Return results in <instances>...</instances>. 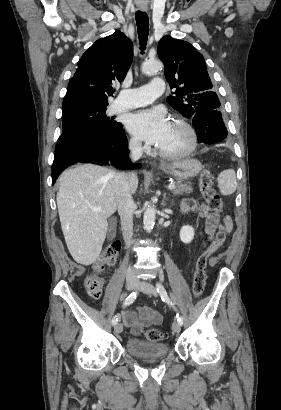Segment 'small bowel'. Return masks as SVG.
<instances>
[{
	"label": "small bowel",
	"mask_w": 281,
	"mask_h": 410,
	"mask_svg": "<svg viewBox=\"0 0 281 410\" xmlns=\"http://www.w3.org/2000/svg\"><path fill=\"white\" fill-rule=\"evenodd\" d=\"M196 204L193 200H186L182 203L180 211L186 213L194 209ZM219 218L215 214L208 215L205 219L204 230L208 236H212L215 232ZM227 230H231V222L227 226ZM204 245V243H202ZM138 315L132 310H124L122 312V319L126 327L130 328L133 333H137L146 326L159 325L162 322V315L156 310L142 306L137 308Z\"/></svg>",
	"instance_id": "small-bowel-1"
}]
</instances>
